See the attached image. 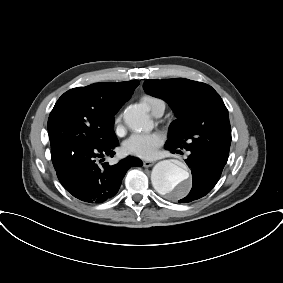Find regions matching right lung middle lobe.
<instances>
[{"label":"right lung middle lobe","instance_id":"dd1d6c3e","mask_svg":"<svg viewBox=\"0 0 283 283\" xmlns=\"http://www.w3.org/2000/svg\"><path fill=\"white\" fill-rule=\"evenodd\" d=\"M113 125V116L103 117L71 89L59 98L48 119L51 153L81 145L107 147L117 141Z\"/></svg>","mask_w":283,"mask_h":283}]
</instances>
